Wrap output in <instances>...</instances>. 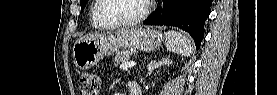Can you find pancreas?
I'll return each instance as SVG.
<instances>
[{
    "label": "pancreas",
    "mask_w": 277,
    "mask_h": 95,
    "mask_svg": "<svg viewBox=\"0 0 277 95\" xmlns=\"http://www.w3.org/2000/svg\"><path fill=\"white\" fill-rule=\"evenodd\" d=\"M132 52L129 50L117 51L114 58V65L127 62L131 57Z\"/></svg>",
    "instance_id": "1"
}]
</instances>
